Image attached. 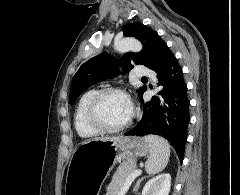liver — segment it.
Returning <instances> with one entry per match:
<instances>
[{
  "label": "liver",
  "instance_id": "obj_1",
  "mask_svg": "<svg viewBox=\"0 0 240 195\" xmlns=\"http://www.w3.org/2000/svg\"><path fill=\"white\" fill-rule=\"evenodd\" d=\"M97 139H108V141H113L116 137H97Z\"/></svg>",
  "mask_w": 240,
  "mask_h": 195
}]
</instances>
